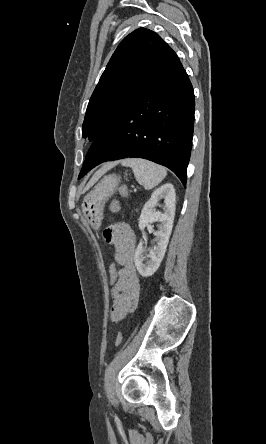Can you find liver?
Masks as SVG:
<instances>
[{"instance_id": "liver-1", "label": "liver", "mask_w": 266, "mask_h": 444, "mask_svg": "<svg viewBox=\"0 0 266 444\" xmlns=\"http://www.w3.org/2000/svg\"><path fill=\"white\" fill-rule=\"evenodd\" d=\"M116 164L117 162L107 163L102 168H100L91 178L84 190H88L105 172L113 168Z\"/></svg>"}]
</instances>
